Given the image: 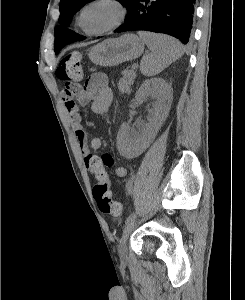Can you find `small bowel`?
I'll list each match as a JSON object with an SVG mask.
<instances>
[{"instance_id": "1", "label": "small bowel", "mask_w": 245, "mask_h": 300, "mask_svg": "<svg viewBox=\"0 0 245 300\" xmlns=\"http://www.w3.org/2000/svg\"><path fill=\"white\" fill-rule=\"evenodd\" d=\"M76 98L80 105L92 102L94 113H105L113 102V93L109 87L108 77L104 73L91 75L83 88L77 93ZM65 106L83 154L85 166L97 178V181H94V190H110L111 181L106 168L114 167L112 156L107 153L97 156L91 152L100 151L103 147V140L100 137H90L88 131L82 125L78 105L72 98L65 99ZM127 172V168L124 166L114 167L116 177L123 178L127 175Z\"/></svg>"}]
</instances>
